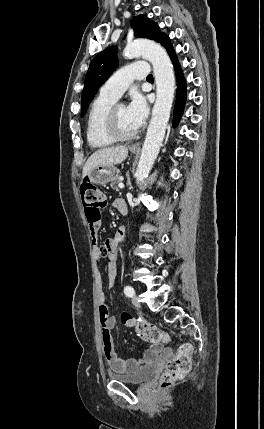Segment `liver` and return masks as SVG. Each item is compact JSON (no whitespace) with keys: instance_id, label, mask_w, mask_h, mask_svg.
Returning a JSON list of instances; mask_svg holds the SVG:
<instances>
[{"instance_id":"obj_1","label":"liver","mask_w":264,"mask_h":429,"mask_svg":"<svg viewBox=\"0 0 264 429\" xmlns=\"http://www.w3.org/2000/svg\"><path fill=\"white\" fill-rule=\"evenodd\" d=\"M128 156L126 146L102 148L94 152L86 161L82 176L88 175L94 168L103 165H115L123 162Z\"/></svg>"}]
</instances>
